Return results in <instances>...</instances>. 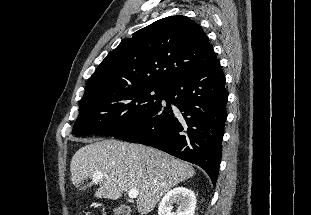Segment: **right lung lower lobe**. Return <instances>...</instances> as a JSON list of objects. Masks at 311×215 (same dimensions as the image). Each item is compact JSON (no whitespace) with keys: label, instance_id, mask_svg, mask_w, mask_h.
<instances>
[{"label":"right lung lower lobe","instance_id":"obj_1","mask_svg":"<svg viewBox=\"0 0 311 215\" xmlns=\"http://www.w3.org/2000/svg\"><path fill=\"white\" fill-rule=\"evenodd\" d=\"M225 75L220 62L170 80L161 103L126 132L115 135L165 151L203 168L215 184L227 118Z\"/></svg>","mask_w":311,"mask_h":215}]
</instances>
